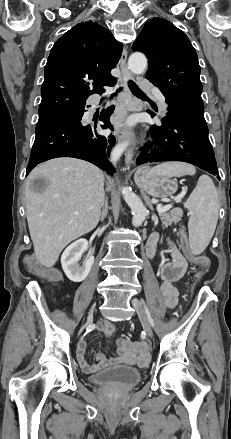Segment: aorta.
Listing matches in <instances>:
<instances>
[{
	"label": "aorta",
	"mask_w": 231,
	"mask_h": 439,
	"mask_svg": "<svg viewBox=\"0 0 231 439\" xmlns=\"http://www.w3.org/2000/svg\"><path fill=\"white\" fill-rule=\"evenodd\" d=\"M128 67L132 73L136 75L143 74L147 68V58L141 52H135L130 55L128 59ZM129 142L125 141L117 144L111 152V162L116 166L119 158L128 147ZM125 202L128 204L132 211V224L135 227L140 226L147 216V209L144 206L140 198L132 192L128 187L121 189Z\"/></svg>",
	"instance_id": "1"
}]
</instances>
